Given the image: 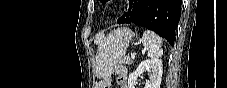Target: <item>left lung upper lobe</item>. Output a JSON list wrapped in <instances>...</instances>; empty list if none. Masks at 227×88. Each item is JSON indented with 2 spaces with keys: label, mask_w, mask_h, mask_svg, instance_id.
<instances>
[{
  "label": "left lung upper lobe",
  "mask_w": 227,
  "mask_h": 88,
  "mask_svg": "<svg viewBox=\"0 0 227 88\" xmlns=\"http://www.w3.org/2000/svg\"><path fill=\"white\" fill-rule=\"evenodd\" d=\"M106 1H108V0H100V2H101L102 4H105Z\"/></svg>",
  "instance_id": "left-lung-upper-lobe-1"
}]
</instances>
